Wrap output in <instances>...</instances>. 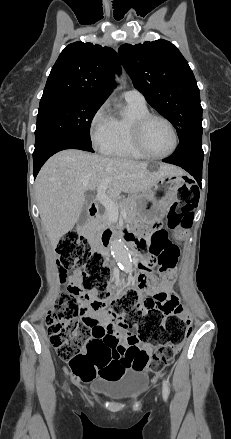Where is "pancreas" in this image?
I'll list each match as a JSON object with an SVG mask.
<instances>
[{
  "mask_svg": "<svg viewBox=\"0 0 231 439\" xmlns=\"http://www.w3.org/2000/svg\"><path fill=\"white\" fill-rule=\"evenodd\" d=\"M118 208L123 212H126V216H125V221L126 222H130L132 221L137 214V209H136V202L134 198H124V199H120L119 203H118ZM112 220L111 217L109 216L108 211L106 210L103 215H101L99 217V223L100 226H106L111 224Z\"/></svg>",
  "mask_w": 231,
  "mask_h": 439,
  "instance_id": "pancreas-1",
  "label": "pancreas"
}]
</instances>
